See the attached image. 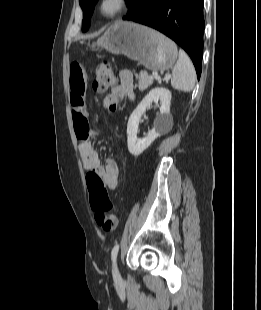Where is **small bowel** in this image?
<instances>
[{
	"label": "small bowel",
	"instance_id": "obj_1",
	"mask_svg": "<svg viewBox=\"0 0 261 310\" xmlns=\"http://www.w3.org/2000/svg\"><path fill=\"white\" fill-rule=\"evenodd\" d=\"M86 87V75L80 62L74 61L70 65V102L72 116L77 139L80 141L79 152L82 157L84 168L88 171L98 173L110 189L116 188L118 184V166L115 160L107 159L102 165L99 154L94 148L91 139L98 134L89 130L87 111L84 104ZM134 97L133 77L128 71H123L120 80L111 88L106 95L103 105L108 110L116 109L121 99Z\"/></svg>",
	"mask_w": 261,
	"mask_h": 310
}]
</instances>
